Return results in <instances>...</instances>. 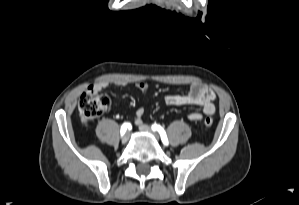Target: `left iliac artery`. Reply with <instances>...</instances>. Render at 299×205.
<instances>
[{"label":"left iliac artery","instance_id":"obj_1","mask_svg":"<svg viewBox=\"0 0 299 205\" xmlns=\"http://www.w3.org/2000/svg\"><path fill=\"white\" fill-rule=\"evenodd\" d=\"M152 130L157 131L160 134L161 140L165 145L169 144L166 132L160 125L153 124L152 125Z\"/></svg>","mask_w":299,"mask_h":205}]
</instances>
